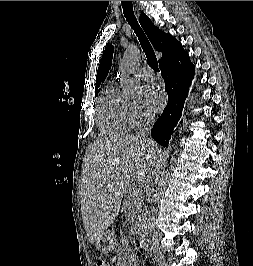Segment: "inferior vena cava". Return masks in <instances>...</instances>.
Returning a JSON list of instances; mask_svg holds the SVG:
<instances>
[{"label": "inferior vena cava", "mask_w": 253, "mask_h": 266, "mask_svg": "<svg viewBox=\"0 0 253 266\" xmlns=\"http://www.w3.org/2000/svg\"><path fill=\"white\" fill-rule=\"evenodd\" d=\"M145 121H146V125L144 126V128L141 130L140 133H141V136L145 138L147 141H151L150 131H151V128H152V125L155 119L153 116H147L145 118ZM153 221H154V214L151 212L148 216L147 224H145L144 227L149 236L151 248L153 249V256L157 259V261H162L163 256L159 248L158 232L155 229Z\"/></svg>", "instance_id": "inferior-vena-cava-1"}]
</instances>
